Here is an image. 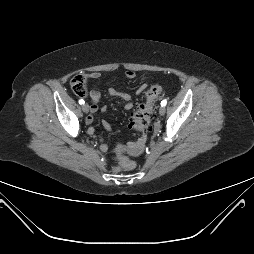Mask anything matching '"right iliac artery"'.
<instances>
[{"mask_svg":"<svg viewBox=\"0 0 254 254\" xmlns=\"http://www.w3.org/2000/svg\"><path fill=\"white\" fill-rule=\"evenodd\" d=\"M79 104H84V100L80 99Z\"/></svg>","mask_w":254,"mask_h":254,"instance_id":"obj_1","label":"right iliac artery"}]
</instances>
